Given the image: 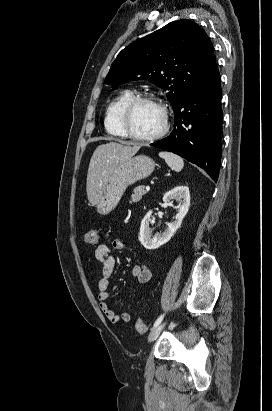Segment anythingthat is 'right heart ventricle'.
Instances as JSON below:
<instances>
[{
  "instance_id": "obj_1",
  "label": "right heart ventricle",
  "mask_w": 272,
  "mask_h": 411,
  "mask_svg": "<svg viewBox=\"0 0 272 411\" xmlns=\"http://www.w3.org/2000/svg\"><path fill=\"white\" fill-rule=\"evenodd\" d=\"M134 96V93L130 89L121 91L108 105L105 111L104 126L112 136L119 138H126L121 124H120V112L126 102Z\"/></svg>"
}]
</instances>
